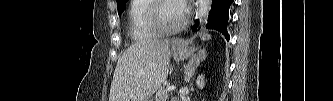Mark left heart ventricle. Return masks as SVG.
<instances>
[{
	"label": "left heart ventricle",
	"mask_w": 333,
	"mask_h": 101,
	"mask_svg": "<svg viewBox=\"0 0 333 101\" xmlns=\"http://www.w3.org/2000/svg\"><path fill=\"white\" fill-rule=\"evenodd\" d=\"M183 13L177 3L166 2L159 9V20L163 28L170 29L176 26L182 19Z\"/></svg>",
	"instance_id": "1"
}]
</instances>
